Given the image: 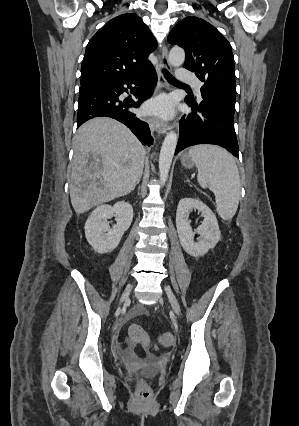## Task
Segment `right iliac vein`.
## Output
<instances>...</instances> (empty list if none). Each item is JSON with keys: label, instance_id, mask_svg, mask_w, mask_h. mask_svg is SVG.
<instances>
[{"label": "right iliac vein", "instance_id": "obj_1", "mask_svg": "<svg viewBox=\"0 0 299 426\" xmlns=\"http://www.w3.org/2000/svg\"><path fill=\"white\" fill-rule=\"evenodd\" d=\"M132 286H128L125 291L123 292L120 303H123L124 301H127L131 292Z\"/></svg>", "mask_w": 299, "mask_h": 426}]
</instances>
